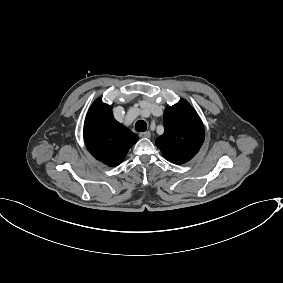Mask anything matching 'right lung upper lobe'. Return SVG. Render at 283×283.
I'll return each mask as SVG.
<instances>
[{"label": "right lung upper lobe", "instance_id": "obj_1", "mask_svg": "<svg viewBox=\"0 0 283 283\" xmlns=\"http://www.w3.org/2000/svg\"><path fill=\"white\" fill-rule=\"evenodd\" d=\"M137 139V135L114 119L109 105L101 99L92 104L84 123V140L94 158L110 167L117 166Z\"/></svg>", "mask_w": 283, "mask_h": 283}]
</instances>
